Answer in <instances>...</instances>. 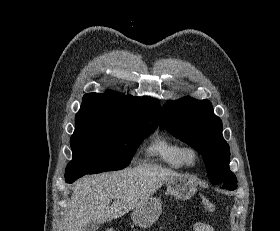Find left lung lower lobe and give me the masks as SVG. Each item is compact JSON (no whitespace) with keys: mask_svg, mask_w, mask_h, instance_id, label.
I'll list each match as a JSON object with an SVG mask.
<instances>
[{"mask_svg":"<svg viewBox=\"0 0 280 231\" xmlns=\"http://www.w3.org/2000/svg\"><path fill=\"white\" fill-rule=\"evenodd\" d=\"M221 188L223 189H228V190H235L237 188V185H232L231 183H225L223 185H221Z\"/></svg>","mask_w":280,"mask_h":231,"instance_id":"0a47b994","label":"left lung lower lobe"}]
</instances>
